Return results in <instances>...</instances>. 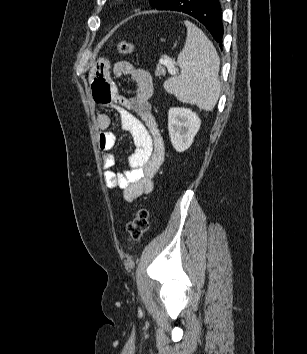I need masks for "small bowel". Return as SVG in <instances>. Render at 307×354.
Segmentation results:
<instances>
[{"instance_id":"obj_1","label":"small bowel","mask_w":307,"mask_h":354,"mask_svg":"<svg viewBox=\"0 0 307 354\" xmlns=\"http://www.w3.org/2000/svg\"><path fill=\"white\" fill-rule=\"evenodd\" d=\"M110 62L106 58L96 61L90 77L93 99L99 106L112 104L119 118V126L130 133L135 145L129 156L128 168L124 172L113 170L115 158L111 153L116 141L109 130L110 117L101 113L97 116L99 130L98 143L107 187L121 189L124 200L133 202L141 195L153 190V179L163 164L165 146L151 109L155 88L151 74L133 66L127 61H119L113 66L115 76L129 78L137 84L131 97L120 94L116 85L109 80Z\"/></svg>"}]
</instances>
